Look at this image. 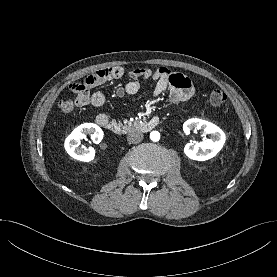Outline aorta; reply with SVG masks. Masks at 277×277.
Wrapping results in <instances>:
<instances>
[{
    "label": "aorta",
    "mask_w": 277,
    "mask_h": 277,
    "mask_svg": "<svg viewBox=\"0 0 277 277\" xmlns=\"http://www.w3.org/2000/svg\"><path fill=\"white\" fill-rule=\"evenodd\" d=\"M150 139L154 142H157L160 140V133L158 131H152L150 133Z\"/></svg>",
    "instance_id": "aorta-1"
}]
</instances>
